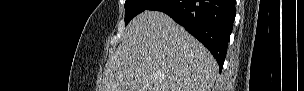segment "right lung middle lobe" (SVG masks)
<instances>
[{
  "instance_id": "right-lung-middle-lobe-1",
  "label": "right lung middle lobe",
  "mask_w": 304,
  "mask_h": 91,
  "mask_svg": "<svg viewBox=\"0 0 304 91\" xmlns=\"http://www.w3.org/2000/svg\"><path fill=\"white\" fill-rule=\"evenodd\" d=\"M153 0H126L125 1V25L136 15L143 12Z\"/></svg>"
}]
</instances>
